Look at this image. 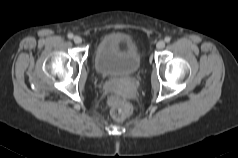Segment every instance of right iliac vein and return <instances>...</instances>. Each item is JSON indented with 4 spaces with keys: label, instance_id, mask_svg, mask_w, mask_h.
<instances>
[{
    "label": "right iliac vein",
    "instance_id": "63e3f726",
    "mask_svg": "<svg viewBox=\"0 0 238 158\" xmlns=\"http://www.w3.org/2000/svg\"><path fill=\"white\" fill-rule=\"evenodd\" d=\"M73 41L76 44H80L82 42V39L80 36H74Z\"/></svg>",
    "mask_w": 238,
    "mask_h": 158
}]
</instances>
